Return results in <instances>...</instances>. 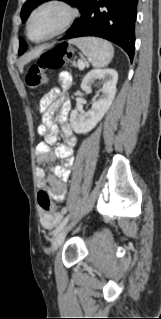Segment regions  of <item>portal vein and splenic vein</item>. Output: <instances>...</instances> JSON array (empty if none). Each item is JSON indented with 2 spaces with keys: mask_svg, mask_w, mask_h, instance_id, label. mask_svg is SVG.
I'll list each match as a JSON object with an SVG mask.
<instances>
[{
  "mask_svg": "<svg viewBox=\"0 0 161 319\" xmlns=\"http://www.w3.org/2000/svg\"><path fill=\"white\" fill-rule=\"evenodd\" d=\"M84 62L80 59L79 61H78V67H79V69L80 70H82L83 68H84Z\"/></svg>",
  "mask_w": 161,
  "mask_h": 319,
  "instance_id": "1",
  "label": "portal vein and splenic vein"
}]
</instances>
